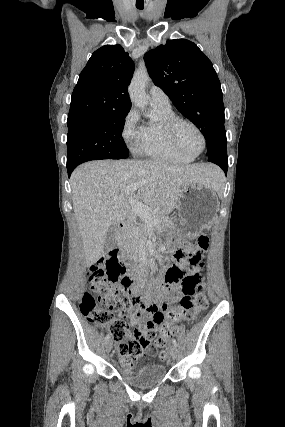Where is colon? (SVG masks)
Wrapping results in <instances>:
<instances>
[{"mask_svg":"<svg viewBox=\"0 0 285 427\" xmlns=\"http://www.w3.org/2000/svg\"><path fill=\"white\" fill-rule=\"evenodd\" d=\"M182 245L184 249L174 252L175 263L165 271L163 279L168 286H181L187 295L181 299L180 309L162 315V323H154L149 327L138 325L139 335L136 338L131 336L130 328L135 314L141 308L140 299L143 296L135 290L126 262L113 252L89 268V288L82 293L80 312L91 324L107 327L121 362L132 365L148 350L165 361V347L174 332L172 322L180 316L193 322L194 314L207 308L208 300L203 292L201 274L186 273L180 264L206 252L208 238L201 236L196 240H184ZM198 265L201 268L203 261ZM112 312H117L119 317H114Z\"/></svg>","mask_w":285,"mask_h":427,"instance_id":"5ec220e1","label":"colon"}]
</instances>
